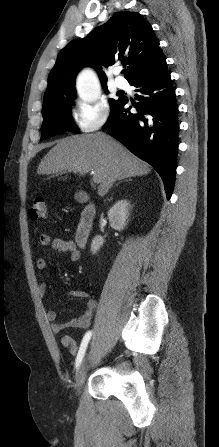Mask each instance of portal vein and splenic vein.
<instances>
[{"label": "portal vein and splenic vein", "mask_w": 219, "mask_h": 447, "mask_svg": "<svg viewBox=\"0 0 219 447\" xmlns=\"http://www.w3.org/2000/svg\"><path fill=\"white\" fill-rule=\"evenodd\" d=\"M92 174L94 175V174H95V172H94V171H92ZM93 180H94V182H95V183H98V182H97V180H96V179L94 178V176H93Z\"/></svg>", "instance_id": "18ae733b"}]
</instances>
